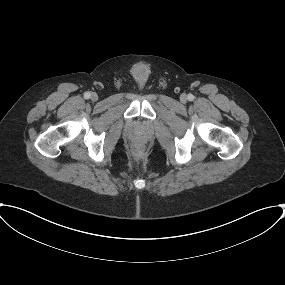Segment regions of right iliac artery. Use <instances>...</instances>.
<instances>
[{
  "label": "right iliac artery",
  "mask_w": 285,
  "mask_h": 285,
  "mask_svg": "<svg viewBox=\"0 0 285 285\" xmlns=\"http://www.w3.org/2000/svg\"><path fill=\"white\" fill-rule=\"evenodd\" d=\"M90 96H91L90 92H85V93H84V98H85V99H89Z\"/></svg>",
  "instance_id": "82829eb1"
}]
</instances>
